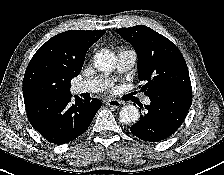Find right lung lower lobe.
I'll list each match as a JSON object with an SVG mask.
<instances>
[{
	"instance_id": "1",
	"label": "right lung lower lobe",
	"mask_w": 224,
	"mask_h": 175,
	"mask_svg": "<svg viewBox=\"0 0 224 175\" xmlns=\"http://www.w3.org/2000/svg\"><path fill=\"white\" fill-rule=\"evenodd\" d=\"M72 95H42L24 100L31 125L49 142L68 143L83 134L101 108V101L86 102Z\"/></svg>"
}]
</instances>
